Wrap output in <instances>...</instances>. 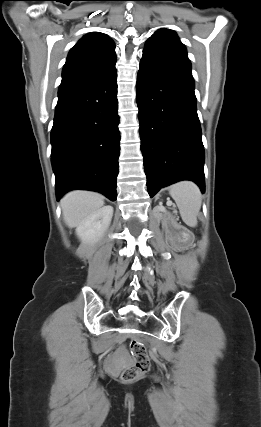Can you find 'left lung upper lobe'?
<instances>
[{
  "label": "left lung upper lobe",
  "mask_w": 261,
  "mask_h": 427,
  "mask_svg": "<svg viewBox=\"0 0 261 427\" xmlns=\"http://www.w3.org/2000/svg\"><path fill=\"white\" fill-rule=\"evenodd\" d=\"M143 52H148L191 67L185 46L170 29H160L146 42Z\"/></svg>",
  "instance_id": "5c2ea615"
}]
</instances>
